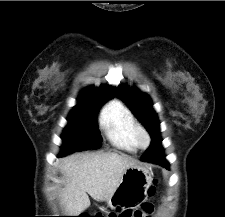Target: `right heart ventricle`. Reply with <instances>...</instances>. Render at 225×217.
Returning a JSON list of instances; mask_svg holds the SVG:
<instances>
[{
	"label": "right heart ventricle",
	"instance_id": "obj_1",
	"mask_svg": "<svg viewBox=\"0 0 225 217\" xmlns=\"http://www.w3.org/2000/svg\"><path fill=\"white\" fill-rule=\"evenodd\" d=\"M100 123L114 146L129 152L137 150L138 144L135 139L137 125L131 111L122 101H111L104 108Z\"/></svg>",
	"mask_w": 225,
	"mask_h": 217
}]
</instances>
